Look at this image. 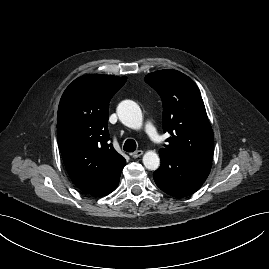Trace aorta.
Listing matches in <instances>:
<instances>
[{"label":"aorta","instance_id":"obj_1","mask_svg":"<svg viewBox=\"0 0 269 269\" xmlns=\"http://www.w3.org/2000/svg\"><path fill=\"white\" fill-rule=\"evenodd\" d=\"M117 114L120 121L127 127L138 129L142 126V112L134 101H122L117 107ZM143 164L148 170H156L160 166V158L156 152L147 151L143 156Z\"/></svg>","mask_w":269,"mask_h":269}]
</instances>
